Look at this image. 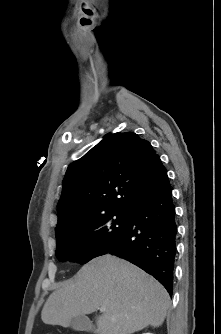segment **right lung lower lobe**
<instances>
[{
  "mask_svg": "<svg viewBox=\"0 0 221 334\" xmlns=\"http://www.w3.org/2000/svg\"><path fill=\"white\" fill-rule=\"evenodd\" d=\"M176 235L175 207L167 178L129 212L120 240L100 255L111 253L130 261L156 278L171 295Z\"/></svg>",
  "mask_w": 221,
  "mask_h": 334,
  "instance_id": "obj_1",
  "label": "right lung lower lobe"
}]
</instances>
